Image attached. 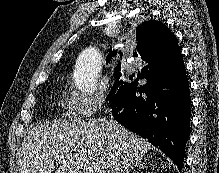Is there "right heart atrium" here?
Returning a JSON list of instances; mask_svg holds the SVG:
<instances>
[{
    "mask_svg": "<svg viewBox=\"0 0 219 173\" xmlns=\"http://www.w3.org/2000/svg\"><path fill=\"white\" fill-rule=\"evenodd\" d=\"M106 92L86 93L71 86L68 93L69 111L79 118H88L97 113L106 102Z\"/></svg>",
    "mask_w": 219,
    "mask_h": 173,
    "instance_id": "d8ad5b80",
    "label": "right heart atrium"
}]
</instances>
